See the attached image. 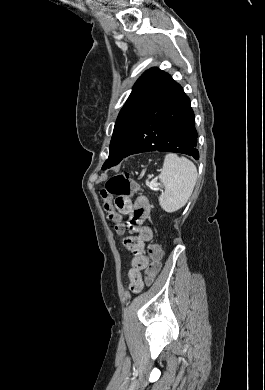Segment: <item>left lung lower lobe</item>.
Instances as JSON below:
<instances>
[{
    "instance_id": "1",
    "label": "left lung lower lobe",
    "mask_w": 265,
    "mask_h": 390,
    "mask_svg": "<svg viewBox=\"0 0 265 390\" xmlns=\"http://www.w3.org/2000/svg\"><path fill=\"white\" fill-rule=\"evenodd\" d=\"M197 131L190 99L169 76L144 108L135 136L122 159L142 152L163 151L199 159Z\"/></svg>"
}]
</instances>
